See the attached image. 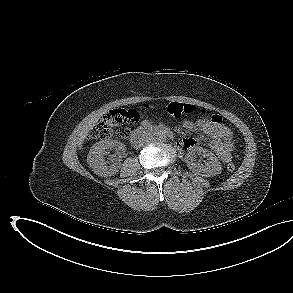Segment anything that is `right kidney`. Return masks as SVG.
Returning a JSON list of instances; mask_svg holds the SVG:
<instances>
[{
  "instance_id": "ca27d5eb",
  "label": "right kidney",
  "mask_w": 293,
  "mask_h": 293,
  "mask_svg": "<svg viewBox=\"0 0 293 293\" xmlns=\"http://www.w3.org/2000/svg\"><path fill=\"white\" fill-rule=\"evenodd\" d=\"M116 147L118 150L123 149L125 146L123 143L105 139L95 143L88 154L87 163L92 168L94 173L102 177H109L115 175L121 168V163L117 160H112V164L108 165V161L105 159V154L108 149Z\"/></svg>"
}]
</instances>
